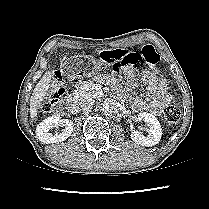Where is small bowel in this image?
<instances>
[{
    "label": "small bowel",
    "instance_id": "obj_1",
    "mask_svg": "<svg viewBox=\"0 0 209 209\" xmlns=\"http://www.w3.org/2000/svg\"><path fill=\"white\" fill-rule=\"evenodd\" d=\"M125 75L128 79L127 88L133 86V79L138 75V68L134 64H129L125 68ZM141 80L147 87L145 97H133L132 107L135 111H149L154 115H160L169 106L172 101L171 95L167 91V85L162 76L144 70L141 73ZM109 83H113L111 78H107ZM125 90L117 89L116 93L119 97H124Z\"/></svg>",
    "mask_w": 209,
    "mask_h": 209
}]
</instances>
